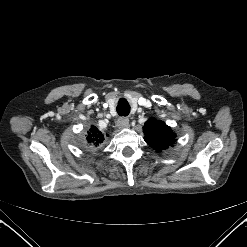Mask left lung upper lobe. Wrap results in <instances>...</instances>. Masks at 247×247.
<instances>
[{
  "label": "left lung upper lobe",
  "instance_id": "5c2ea615",
  "mask_svg": "<svg viewBox=\"0 0 247 247\" xmlns=\"http://www.w3.org/2000/svg\"><path fill=\"white\" fill-rule=\"evenodd\" d=\"M143 131L147 144L157 151L167 149L174 143L176 137L169 126L154 118L144 124Z\"/></svg>",
  "mask_w": 247,
  "mask_h": 247
}]
</instances>
